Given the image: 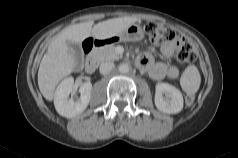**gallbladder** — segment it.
Returning a JSON list of instances; mask_svg holds the SVG:
<instances>
[{
	"label": "gallbladder",
	"instance_id": "bac80fb5",
	"mask_svg": "<svg viewBox=\"0 0 238 158\" xmlns=\"http://www.w3.org/2000/svg\"><path fill=\"white\" fill-rule=\"evenodd\" d=\"M68 47L73 51L76 65H81L83 61V51L76 43L67 42Z\"/></svg>",
	"mask_w": 238,
	"mask_h": 158
}]
</instances>
